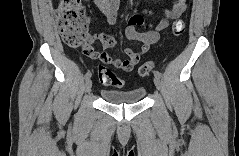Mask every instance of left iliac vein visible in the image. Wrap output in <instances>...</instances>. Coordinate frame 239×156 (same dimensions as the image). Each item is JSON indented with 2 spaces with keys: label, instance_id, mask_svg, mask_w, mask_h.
Returning a JSON list of instances; mask_svg holds the SVG:
<instances>
[{
  "label": "left iliac vein",
  "instance_id": "1",
  "mask_svg": "<svg viewBox=\"0 0 239 156\" xmlns=\"http://www.w3.org/2000/svg\"><path fill=\"white\" fill-rule=\"evenodd\" d=\"M154 84H155V86H156V88L158 89V90H160V88H161V81H160V78H158V77H154Z\"/></svg>",
  "mask_w": 239,
  "mask_h": 156
}]
</instances>
